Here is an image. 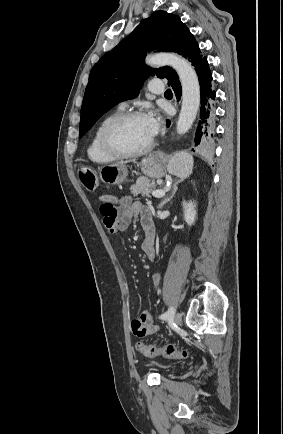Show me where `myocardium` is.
I'll return each mask as SVG.
<instances>
[{
    "instance_id": "myocardium-1",
    "label": "myocardium",
    "mask_w": 283,
    "mask_h": 434,
    "mask_svg": "<svg viewBox=\"0 0 283 434\" xmlns=\"http://www.w3.org/2000/svg\"><path fill=\"white\" fill-rule=\"evenodd\" d=\"M144 113L140 111L122 112L110 119L102 128L99 135V143L101 149L109 156L116 159L134 158L147 154L154 146V139L142 149L136 151H125L117 146L114 141L115 131L124 123L137 119L144 118Z\"/></svg>"
}]
</instances>
